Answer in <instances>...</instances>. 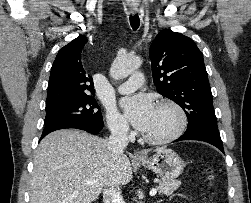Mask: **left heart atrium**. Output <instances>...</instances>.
I'll list each match as a JSON object with an SVG mask.
<instances>
[{
    "instance_id": "left-heart-atrium-1",
    "label": "left heart atrium",
    "mask_w": 251,
    "mask_h": 203,
    "mask_svg": "<svg viewBox=\"0 0 251 203\" xmlns=\"http://www.w3.org/2000/svg\"><path fill=\"white\" fill-rule=\"evenodd\" d=\"M121 107L133 126L145 132L154 116L156 106L147 94H137L121 100Z\"/></svg>"
}]
</instances>
